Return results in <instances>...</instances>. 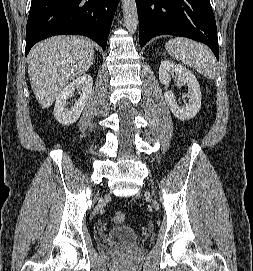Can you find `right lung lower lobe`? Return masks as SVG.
<instances>
[{"instance_id": "1", "label": "right lung lower lobe", "mask_w": 253, "mask_h": 271, "mask_svg": "<svg viewBox=\"0 0 253 271\" xmlns=\"http://www.w3.org/2000/svg\"><path fill=\"white\" fill-rule=\"evenodd\" d=\"M119 0H32L26 28L27 55L38 41L54 35L87 36L106 49Z\"/></svg>"}]
</instances>
